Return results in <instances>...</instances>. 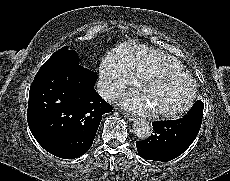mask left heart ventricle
<instances>
[{
    "instance_id": "left-heart-ventricle-1",
    "label": "left heart ventricle",
    "mask_w": 230,
    "mask_h": 181,
    "mask_svg": "<svg viewBox=\"0 0 230 181\" xmlns=\"http://www.w3.org/2000/svg\"><path fill=\"white\" fill-rule=\"evenodd\" d=\"M191 92L185 79L166 77L151 82L143 92L155 110H173L182 106Z\"/></svg>"
}]
</instances>
